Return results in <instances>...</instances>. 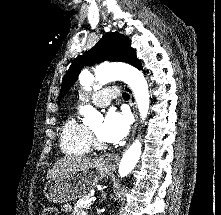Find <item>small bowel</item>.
Returning <instances> with one entry per match:
<instances>
[{"instance_id": "obj_1", "label": "small bowel", "mask_w": 221, "mask_h": 215, "mask_svg": "<svg viewBox=\"0 0 221 215\" xmlns=\"http://www.w3.org/2000/svg\"><path fill=\"white\" fill-rule=\"evenodd\" d=\"M62 210L64 213H70L71 215H88L82 210H73L70 204H64Z\"/></svg>"}]
</instances>
